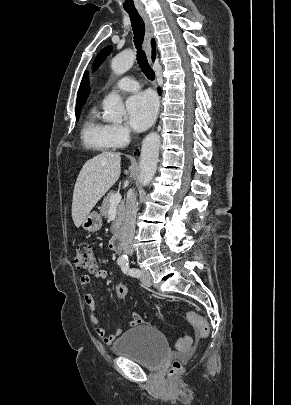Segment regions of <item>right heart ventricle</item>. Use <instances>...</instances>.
I'll return each instance as SVG.
<instances>
[{
    "label": "right heart ventricle",
    "instance_id": "right-heart-ventricle-1",
    "mask_svg": "<svg viewBox=\"0 0 291 405\" xmlns=\"http://www.w3.org/2000/svg\"><path fill=\"white\" fill-rule=\"evenodd\" d=\"M111 125L104 121L98 110L91 108L82 127V139L85 145L98 151H108L115 148L111 137Z\"/></svg>",
    "mask_w": 291,
    "mask_h": 405
}]
</instances>
